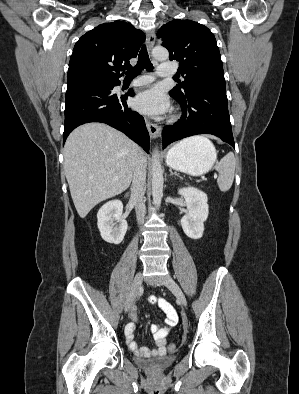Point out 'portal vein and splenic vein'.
<instances>
[{
  "mask_svg": "<svg viewBox=\"0 0 299 394\" xmlns=\"http://www.w3.org/2000/svg\"><path fill=\"white\" fill-rule=\"evenodd\" d=\"M214 178H217V175H216V174L214 175ZM115 179H118V178L116 177Z\"/></svg>",
  "mask_w": 299,
  "mask_h": 394,
  "instance_id": "1",
  "label": "portal vein and splenic vein"
}]
</instances>
